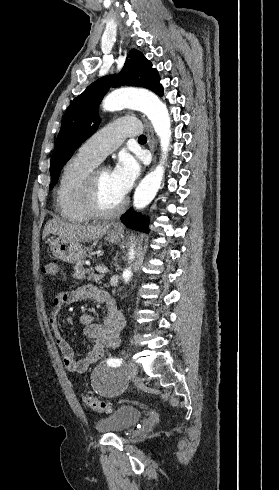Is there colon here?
Masks as SVG:
<instances>
[{"label": "colon", "mask_w": 279, "mask_h": 490, "mask_svg": "<svg viewBox=\"0 0 279 490\" xmlns=\"http://www.w3.org/2000/svg\"><path fill=\"white\" fill-rule=\"evenodd\" d=\"M59 267L60 263L58 260H52L47 262L42 269V272L46 276L57 277L59 275ZM83 402L86 406L95 412L105 413L110 411L111 405L107 401L103 399H98L91 393H83L82 395Z\"/></svg>", "instance_id": "colon-1"}]
</instances>
